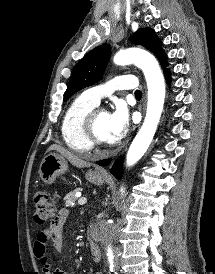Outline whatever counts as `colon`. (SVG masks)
<instances>
[{
    "label": "colon",
    "instance_id": "obj_1",
    "mask_svg": "<svg viewBox=\"0 0 215 274\" xmlns=\"http://www.w3.org/2000/svg\"><path fill=\"white\" fill-rule=\"evenodd\" d=\"M34 220L38 225L46 224L55 215V203L46 192H37L34 197Z\"/></svg>",
    "mask_w": 215,
    "mask_h": 274
}]
</instances>
